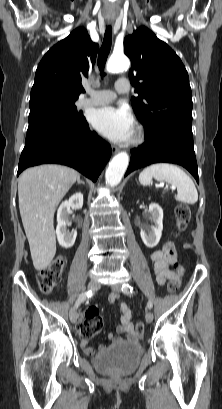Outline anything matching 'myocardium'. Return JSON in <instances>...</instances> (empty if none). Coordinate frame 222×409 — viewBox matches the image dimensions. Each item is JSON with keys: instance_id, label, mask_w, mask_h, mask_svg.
<instances>
[{"instance_id": "f54148a6", "label": "myocardium", "mask_w": 222, "mask_h": 409, "mask_svg": "<svg viewBox=\"0 0 222 409\" xmlns=\"http://www.w3.org/2000/svg\"><path fill=\"white\" fill-rule=\"evenodd\" d=\"M146 135L145 130L142 126H138L136 128L135 134L133 139L131 140V144L134 146H139L145 141Z\"/></svg>"}]
</instances>
